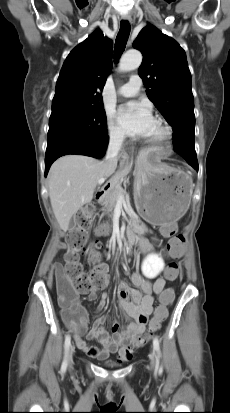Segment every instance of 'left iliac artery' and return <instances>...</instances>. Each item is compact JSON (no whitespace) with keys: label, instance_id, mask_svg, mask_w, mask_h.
<instances>
[{"label":"left iliac artery","instance_id":"obj_1","mask_svg":"<svg viewBox=\"0 0 230 413\" xmlns=\"http://www.w3.org/2000/svg\"><path fill=\"white\" fill-rule=\"evenodd\" d=\"M153 345H154V349L156 350L157 355H158V359H159L160 356H161V353H160L159 340H158L157 337H155V338L153 339ZM159 370H160V371L162 370V366H160Z\"/></svg>","mask_w":230,"mask_h":413}]
</instances>
